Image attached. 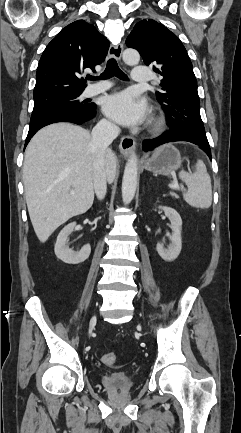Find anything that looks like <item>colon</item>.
<instances>
[{"instance_id":"colon-1","label":"colon","mask_w":241,"mask_h":433,"mask_svg":"<svg viewBox=\"0 0 241 433\" xmlns=\"http://www.w3.org/2000/svg\"><path fill=\"white\" fill-rule=\"evenodd\" d=\"M116 360V354L114 352H108L102 356V362L105 365H112Z\"/></svg>"}]
</instances>
